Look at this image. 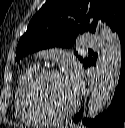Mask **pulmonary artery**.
<instances>
[{"label":"pulmonary artery","mask_w":125,"mask_h":128,"mask_svg":"<svg viewBox=\"0 0 125 128\" xmlns=\"http://www.w3.org/2000/svg\"><path fill=\"white\" fill-rule=\"evenodd\" d=\"M83 40L86 47L98 48L101 45V40L93 34H86Z\"/></svg>","instance_id":"obj_1"}]
</instances>
